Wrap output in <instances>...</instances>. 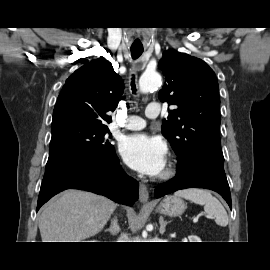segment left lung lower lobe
Masks as SVG:
<instances>
[{"instance_id":"1","label":"left lung lower lobe","mask_w":270,"mask_h":270,"mask_svg":"<svg viewBox=\"0 0 270 270\" xmlns=\"http://www.w3.org/2000/svg\"><path fill=\"white\" fill-rule=\"evenodd\" d=\"M223 163V154L194 151L188 159L178 162L174 178L157 186L155 197L160 198L190 187L206 188L218 192L231 208L230 189Z\"/></svg>"}]
</instances>
